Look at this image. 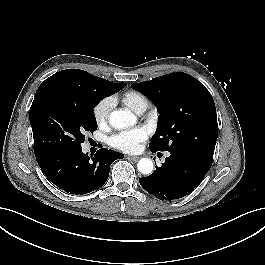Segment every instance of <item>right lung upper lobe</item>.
I'll use <instances>...</instances> for the list:
<instances>
[{
  "instance_id": "right-lung-upper-lobe-1",
  "label": "right lung upper lobe",
  "mask_w": 265,
  "mask_h": 265,
  "mask_svg": "<svg viewBox=\"0 0 265 265\" xmlns=\"http://www.w3.org/2000/svg\"><path fill=\"white\" fill-rule=\"evenodd\" d=\"M86 73V71L78 69L63 70L47 78L38 89L52 87L68 94L80 95L89 91L93 85V82L86 78ZM99 82L116 89L124 87L123 83L115 84L102 78L99 79Z\"/></svg>"
}]
</instances>
